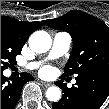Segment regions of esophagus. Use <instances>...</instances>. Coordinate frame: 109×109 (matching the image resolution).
I'll return each mask as SVG.
<instances>
[{
    "label": "esophagus",
    "instance_id": "obj_1",
    "mask_svg": "<svg viewBox=\"0 0 109 109\" xmlns=\"http://www.w3.org/2000/svg\"><path fill=\"white\" fill-rule=\"evenodd\" d=\"M42 85H43L44 87H49V86H51V84L48 83V82H42Z\"/></svg>",
    "mask_w": 109,
    "mask_h": 109
}]
</instances>
